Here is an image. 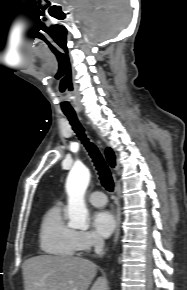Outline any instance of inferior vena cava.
<instances>
[{"label": "inferior vena cava", "instance_id": "1", "mask_svg": "<svg viewBox=\"0 0 187 290\" xmlns=\"http://www.w3.org/2000/svg\"><path fill=\"white\" fill-rule=\"evenodd\" d=\"M94 248H95L96 254L98 255L103 254L104 240L101 237L94 238Z\"/></svg>", "mask_w": 187, "mask_h": 290}]
</instances>
